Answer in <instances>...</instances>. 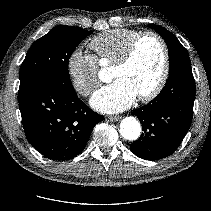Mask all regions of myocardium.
Instances as JSON below:
<instances>
[{
	"label": "myocardium",
	"mask_w": 211,
	"mask_h": 211,
	"mask_svg": "<svg viewBox=\"0 0 211 211\" xmlns=\"http://www.w3.org/2000/svg\"><path fill=\"white\" fill-rule=\"evenodd\" d=\"M146 37H152L159 42L163 52V66L161 75L155 84V86L147 93L138 96V100L141 102H149L155 99L163 90L170 70L169 49L165 39L154 31H144L139 33L129 44L124 54L113 64V69H120L126 67L134 58L139 43Z\"/></svg>",
	"instance_id": "f54148a6"
}]
</instances>
